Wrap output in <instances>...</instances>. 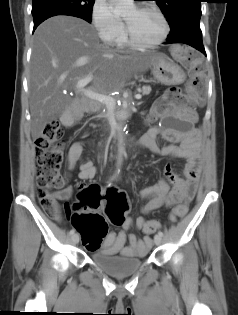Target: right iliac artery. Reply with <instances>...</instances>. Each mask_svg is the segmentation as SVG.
Here are the masks:
<instances>
[{
	"mask_svg": "<svg viewBox=\"0 0 238 315\" xmlns=\"http://www.w3.org/2000/svg\"><path fill=\"white\" fill-rule=\"evenodd\" d=\"M75 233V229L70 230V235H73Z\"/></svg>",
	"mask_w": 238,
	"mask_h": 315,
	"instance_id": "82829eb1",
	"label": "right iliac artery"
}]
</instances>
